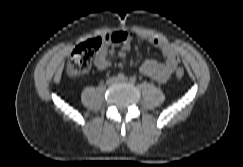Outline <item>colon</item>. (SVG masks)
Masks as SVG:
<instances>
[{"instance_id": "5ec220e1", "label": "colon", "mask_w": 243, "mask_h": 167, "mask_svg": "<svg viewBox=\"0 0 243 167\" xmlns=\"http://www.w3.org/2000/svg\"><path fill=\"white\" fill-rule=\"evenodd\" d=\"M103 44V38L95 37L76 46L67 62V74L73 77L87 74L91 69L93 57L101 49ZM184 74L185 72L182 68L177 69V78H182Z\"/></svg>"}]
</instances>
